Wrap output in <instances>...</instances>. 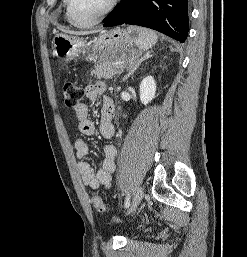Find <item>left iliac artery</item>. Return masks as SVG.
I'll list each match as a JSON object with an SVG mask.
<instances>
[{"mask_svg":"<svg viewBox=\"0 0 247 257\" xmlns=\"http://www.w3.org/2000/svg\"><path fill=\"white\" fill-rule=\"evenodd\" d=\"M130 205V194H127L126 200H125V208H128Z\"/></svg>","mask_w":247,"mask_h":257,"instance_id":"44dca946","label":"left iliac artery"}]
</instances>
